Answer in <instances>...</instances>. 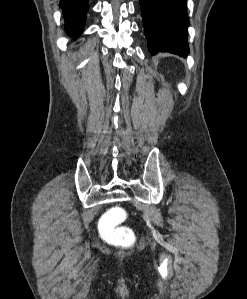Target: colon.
I'll return each mask as SVG.
<instances>
[{"instance_id":"1","label":"colon","mask_w":247,"mask_h":299,"mask_svg":"<svg viewBox=\"0 0 247 299\" xmlns=\"http://www.w3.org/2000/svg\"><path fill=\"white\" fill-rule=\"evenodd\" d=\"M125 211L120 207L110 209L102 218L100 230L103 237L110 243L128 246L134 241L133 231L122 225Z\"/></svg>"}]
</instances>
